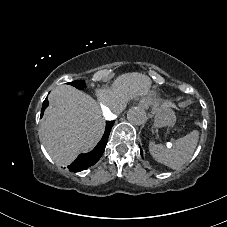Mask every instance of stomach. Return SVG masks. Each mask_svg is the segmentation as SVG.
I'll list each match as a JSON object with an SVG mask.
<instances>
[{"label": "stomach", "mask_w": 227, "mask_h": 227, "mask_svg": "<svg viewBox=\"0 0 227 227\" xmlns=\"http://www.w3.org/2000/svg\"><path fill=\"white\" fill-rule=\"evenodd\" d=\"M156 127L173 126L176 121V115L174 111L164 105L154 107Z\"/></svg>", "instance_id": "1"}]
</instances>
